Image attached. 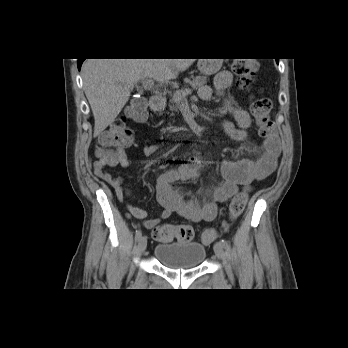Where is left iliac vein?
<instances>
[{"instance_id":"obj_1","label":"left iliac vein","mask_w":348,"mask_h":348,"mask_svg":"<svg viewBox=\"0 0 348 348\" xmlns=\"http://www.w3.org/2000/svg\"><path fill=\"white\" fill-rule=\"evenodd\" d=\"M214 252L219 259L224 258V250L220 242L214 244Z\"/></svg>"}]
</instances>
